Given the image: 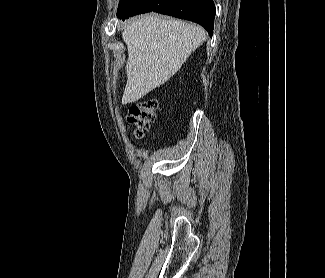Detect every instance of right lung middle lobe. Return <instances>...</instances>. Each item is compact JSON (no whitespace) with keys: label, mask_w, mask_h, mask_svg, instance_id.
<instances>
[{"label":"right lung middle lobe","mask_w":325,"mask_h":278,"mask_svg":"<svg viewBox=\"0 0 325 278\" xmlns=\"http://www.w3.org/2000/svg\"><path fill=\"white\" fill-rule=\"evenodd\" d=\"M134 2L135 0H120L117 10V16L121 18L133 12Z\"/></svg>","instance_id":"obj_1"}]
</instances>
